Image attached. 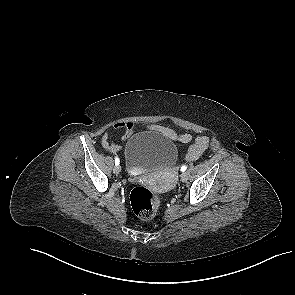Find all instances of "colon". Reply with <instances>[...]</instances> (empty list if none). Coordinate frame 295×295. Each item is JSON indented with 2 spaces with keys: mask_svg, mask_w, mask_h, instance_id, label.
I'll return each instance as SVG.
<instances>
[{
  "mask_svg": "<svg viewBox=\"0 0 295 295\" xmlns=\"http://www.w3.org/2000/svg\"><path fill=\"white\" fill-rule=\"evenodd\" d=\"M131 207L142 220L151 219L159 207L158 197L145 187H135L130 194Z\"/></svg>",
  "mask_w": 295,
  "mask_h": 295,
  "instance_id": "colon-1",
  "label": "colon"
}]
</instances>
